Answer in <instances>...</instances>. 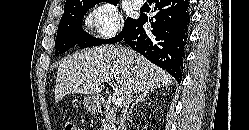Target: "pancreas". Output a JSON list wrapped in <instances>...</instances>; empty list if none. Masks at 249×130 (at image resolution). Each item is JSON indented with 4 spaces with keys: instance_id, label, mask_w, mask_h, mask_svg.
I'll use <instances>...</instances> for the list:
<instances>
[{
    "instance_id": "1",
    "label": "pancreas",
    "mask_w": 249,
    "mask_h": 130,
    "mask_svg": "<svg viewBox=\"0 0 249 130\" xmlns=\"http://www.w3.org/2000/svg\"><path fill=\"white\" fill-rule=\"evenodd\" d=\"M108 116L105 119H102V123L104 124V130H114V124L112 122V112H107Z\"/></svg>"
}]
</instances>
